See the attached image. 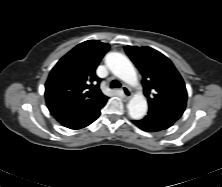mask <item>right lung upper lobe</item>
Instances as JSON below:
<instances>
[{"instance_id": "cb5924a9", "label": "right lung upper lobe", "mask_w": 222, "mask_h": 187, "mask_svg": "<svg viewBox=\"0 0 222 187\" xmlns=\"http://www.w3.org/2000/svg\"><path fill=\"white\" fill-rule=\"evenodd\" d=\"M109 48L107 43L88 40L63 56L45 84L47 106L87 110L105 104L108 97L99 88L95 70Z\"/></svg>"}]
</instances>
